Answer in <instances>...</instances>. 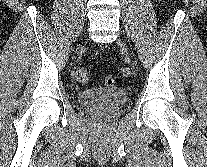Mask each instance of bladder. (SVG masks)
<instances>
[{"label": "bladder", "mask_w": 207, "mask_h": 167, "mask_svg": "<svg viewBox=\"0 0 207 167\" xmlns=\"http://www.w3.org/2000/svg\"><path fill=\"white\" fill-rule=\"evenodd\" d=\"M77 102L86 108H119L128 100L127 92L121 88H93L80 91Z\"/></svg>", "instance_id": "bladder-1"}]
</instances>
